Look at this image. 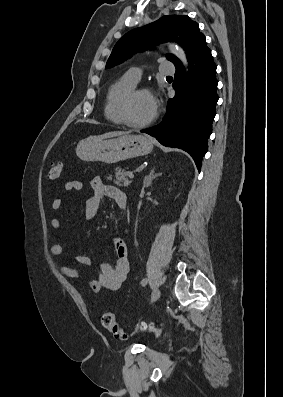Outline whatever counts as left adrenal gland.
Wrapping results in <instances>:
<instances>
[{
	"mask_svg": "<svg viewBox=\"0 0 283 397\" xmlns=\"http://www.w3.org/2000/svg\"><path fill=\"white\" fill-rule=\"evenodd\" d=\"M161 175V173H159V174H154V169H152L151 170V172L149 173V175H146L145 177H144V180H143V187H149L150 185H151V183H152V180L154 179V178H156L157 176H160Z\"/></svg>",
	"mask_w": 283,
	"mask_h": 397,
	"instance_id": "1",
	"label": "left adrenal gland"
}]
</instances>
